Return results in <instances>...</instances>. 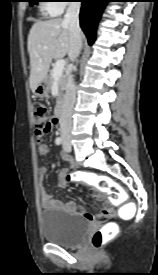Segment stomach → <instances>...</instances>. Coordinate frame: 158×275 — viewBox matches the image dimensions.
Here are the masks:
<instances>
[{"label": "stomach", "instance_id": "0dacf381", "mask_svg": "<svg viewBox=\"0 0 158 275\" xmlns=\"http://www.w3.org/2000/svg\"><path fill=\"white\" fill-rule=\"evenodd\" d=\"M49 92L48 79L45 77L35 88L34 94L37 97L43 98Z\"/></svg>", "mask_w": 158, "mask_h": 275}]
</instances>
